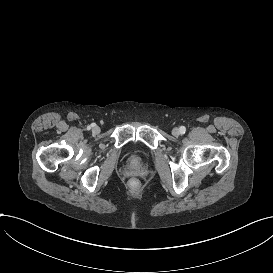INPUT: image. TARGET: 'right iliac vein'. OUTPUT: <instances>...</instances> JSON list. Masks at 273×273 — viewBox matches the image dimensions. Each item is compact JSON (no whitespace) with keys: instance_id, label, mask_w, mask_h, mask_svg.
Returning <instances> with one entry per match:
<instances>
[{"instance_id":"right-iliac-vein-1","label":"right iliac vein","mask_w":273,"mask_h":273,"mask_svg":"<svg viewBox=\"0 0 273 273\" xmlns=\"http://www.w3.org/2000/svg\"><path fill=\"white\" fill-rule=\"evenodd\" d=\"M92 131L94 132V133H99V128L98 127H94L93 129H92Z\"/></svg>"}]
</instances>
